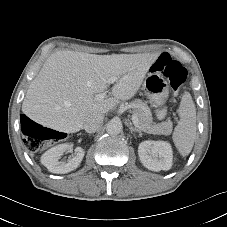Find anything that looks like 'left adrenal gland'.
<instances>
[{
    "label": "left adrenal gland",
    "mask_w": 227,
    "mask_h": 227,
    "mask_svg": "<svg viewBox=\"0 0 227 227\" xmlns=\"http://www.w3.org/2000/svg\"><path fill=\"white\" fill-rule=\"evenodd\" d=\"M128 127H129L131 133L132 132H138L139 135H141V131L139 129H137L136 127H133L132 124H128Z\"/></svg>",
    "instance_id": "1"
}]
</instances>
